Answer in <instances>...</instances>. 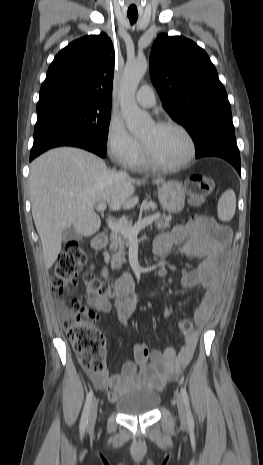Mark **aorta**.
Segmentation results:
<instances>
[{"instance_id":"762f6f07","label":"aorta","mask_w":263,"mask_h":465,"mask_svg":"<svg viewBox=\"0 0 263 465\" xmlns=\"http://www.w3.org/2000/svg\"><path fill=\"white\" fill-rule=\"evenodd\" d=\"M146 59L128 61L120 82L119 100L122 115L128 130L133 134H140L151 123L150 116L137 105L135 93L138 85L147 71Z\"/></svg>"}]
</instances>
